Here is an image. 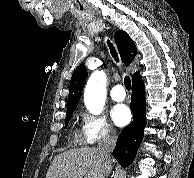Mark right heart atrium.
I'll use <instances>...</instances> for the list:
<instances>
[{"instance_id": "1", "label": "right heart atrium", "mask_w": 194, "mask_h": 178, "mask_svg": "<svg viewBox=\"0 0 194 178\" xmlns=\"http://www.w3.org/2000/svg\"><path fill=\"white\" fill-rule=\"evenodd\" d=\"M116 138V133L108 121L101 115L87 111L79 113V129L75 140L79 145L91 146Z\"/></svg>"}]
</instances>
